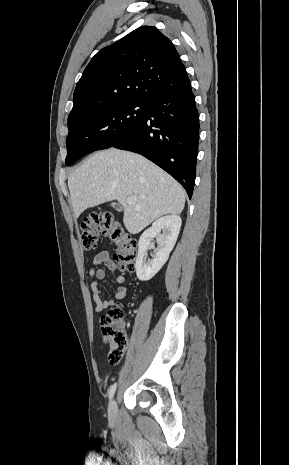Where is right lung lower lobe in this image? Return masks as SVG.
Listing matches in <instances>:
<instances>
[{"label":"right lung lower lobe","instance_id":"right-lung-lower-lobe-1","mask_svg":"<svg viewBox=\"0 0 289 465\" xmlns=\"http://www.w3.org/2000/svg\"><path fill=\"white\" fill-rule=\"evenodd\" d=\"M144 120L112 147L143 155L173 176L191 198L196 177L199 119L190 84L148 101Z\"/></svg>","mask_w":289,"mask_h":465}]
</instances>
